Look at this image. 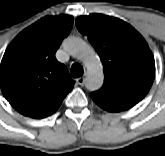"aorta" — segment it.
I'll return each instance as SVG.
<instances>
[{"label":"aorta","mask_w":165,"mask_h":156,"mask_svg":"<svg viewBox=\"0 0 165 156\" xmlns=\"http://www.w3.org/2000/svg\"><path fill=\"white\" fill-rule=\"evenodd\" d=\"M63 47L69 55L84 63L87 69L86 88L90 91L98 90L103 84L104 74L102 64L94 49L84 40L76 37L66 39Z\"/></svg>","instance_id":"obj_1"}]
</instances>
